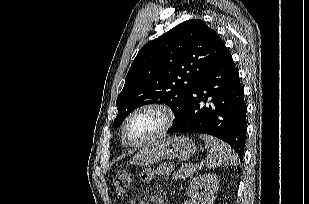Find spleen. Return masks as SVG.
I'll use <instances>...</instances> for the list:
<instances>
[{"mask_svg": "<svg viewBox=\"0 0 309 204\" xmlns=\"http://www.w3.org/2000/svg\"><path fill=\"white\" fill-rule=\"evenodd\" d=\"M200 137L204 140L205 147L208 149L205 163L209 169L238 164L239 158L229 145L211 136L202 134Z\"/></svg>", "mask_w": 309, "mask_h": 204, "instance_id": "obj_1", "label": "spleen"}]
</instances>
